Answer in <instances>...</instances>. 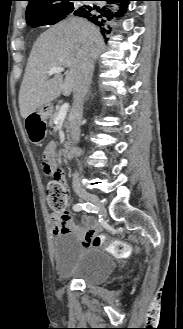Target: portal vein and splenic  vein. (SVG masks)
<instances>
[{"instance_id":"portal-vein-and-splenic-vein-1","label":"portal vein and splenic vein","mask_w":183,"mask_h":329,"mask_svg":"<svg viewBox=\"0 0 183 329\" xmlns=\"http://www.w3.org/2000/svg\"><path fill=\"white\" fill-rule=\"evenodd\" d=\"M64 70H65L64 67H60V66L59 67H53L49 70L48 75L50 76V75H53V74H56V73H60V72H63ZM68 109H69V104L64 103L62 105V107L60 108V110L58 112V115L54 119V124L55 125L63 123V121H64V119L67 115Z\"/></svg>"}]
</instances>
